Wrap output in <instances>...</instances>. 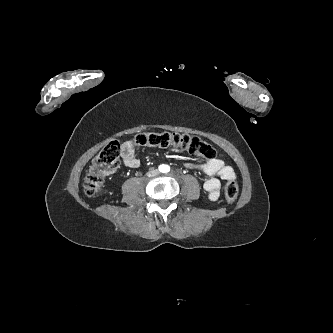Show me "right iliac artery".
<instances>
[{
    "instance_id": "obj_1",
    "label": "right iliac artery",
    "mask_w": 333,
    "mask_h": 333,
    "mask_svg": "<svg viewBox=\"0 0 333 333\" xmlns=\"http://www.w3.org/2000/svg\"><path fill=\"white\" fill-rule=\"evenodd\" d=\"M162 169H163L162 166H159V170L162 171Z\"/></svg>"
}]
</instances>
